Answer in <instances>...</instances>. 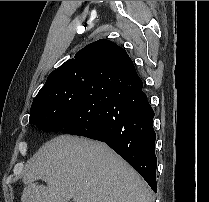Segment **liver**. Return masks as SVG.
Returning a JSON list of instances; mask_svg holds the SVG:
<instances>
[{"label":"liver","instance_id":"obj_1","mask_svg":"<svg viewBox=\"0 0 209 202\" xmlns=\"http://www.w3.org/2000/svg\"><path fill=\"white\" fill-rule=\"evenodd\" d=\"M22 182V202L152 201L143 179L112 149L70 135L46 142L27 162Z\"/></svg>","mask_w":209,"mask_h":202}]
</instances>
